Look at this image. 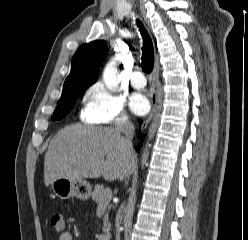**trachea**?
Segmentation results:
<instances>
[{"instance_id":"3493384b","label":"trachea","mask_w":248,"mask_h":240,"mask_svg":"<svg viewBox=\"0 0 248 240\" xmlns=\"http://www.w3.org/2000/svg\"><path fill=\"white\" fill-rule=\"evenodd\" d=\"M137 25L140 29L142 38H143V47H142V57H141V67L145 73H151L154 66V48L150 36L145 31L142 26V23L137 20Z\"/></svg>"}]
</instances>
